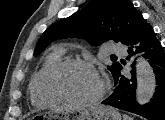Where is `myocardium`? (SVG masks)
I'll list each match as a JSON object with an SVG mask.
<instances>
[{
	"instance_id": "obj_1",
	"label": "myocardium",
	"mask_w": 165,
	"mask_h": 120,
	"mask_svg": "<svg viewBox=\"0 0 165 120\" xmlns=\"http://www.w3.org/2000/svg\"><path fill=\"white\" fill-rule=\"evenodd\" d=\"M72 67H84L95 72L99 76L102 82L101 91L96 96L88 99H75L68 96L63 91L60 84V80L62 75ZM48 88L51 94L59 101L76 104V105H91L100 102L104 98L107 90V85L104 79L100 76V73L98 72L96 67L91 62L79 58H69L62 60L52 70L48 78Z\"/></svg>"
}]
</instances>
